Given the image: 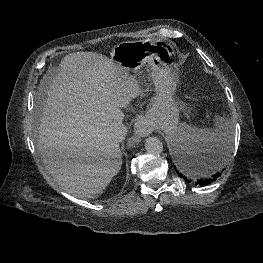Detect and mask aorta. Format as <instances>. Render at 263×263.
<instances>
[{
	"mask_svg": "<svg viewBox=\"0 0 263 263\" xmlns=\"http://www.w3.org/2000/svg\"><path fill=\"white\" fill-rule=\"evenodd\" d=\"M145 149L151 154H160L163 151V144L156 137H148L145 140Z\"/></svg>",
	"mask_w": 263,
	"mask_h": 263,
	"instance_id": "aorta-1",
	"label": "aorta"
}]
</instances>
